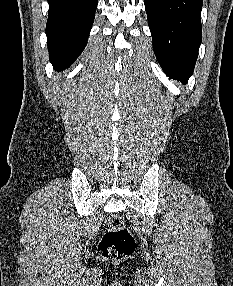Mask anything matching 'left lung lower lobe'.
<instances>
[{
    "label": "left lung lower lobe",
    "mask_w": 233,
    "mask_h": 286,
    "mask_svg": "<svg viewBox=\"0 0 233 286\" xmlns=\"http://www.w3.org/2000/svg\"><path fill=\"white\" fill-rule=\"evenodd\" d=\"M153 50L167 76L186 83L202 41V0H144Z\"/></svg>",
    "instance_id": "0a47b994"
}]
</instances>
